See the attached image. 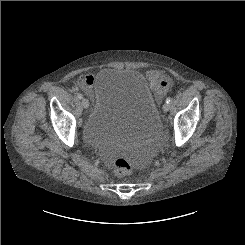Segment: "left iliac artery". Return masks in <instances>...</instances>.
Returning <instances> with one entry per match:
<instances>
[{
	"label": "left iliac artery",
	"mask_w": 245,
	"mask_h": 245,
	"mask_svg": "<svg viewBox=\"0 0 245 245\" xmlns=\"http://www.w3.org/2000/svg\"><path fill=\"white\" fill-rule=\"evenodd\" d=\"M172 101V98L171 97H168L167 99H166V103H170Z\"/></svg>",
	"instance_id": "1"
}]
</instances>
